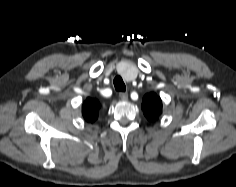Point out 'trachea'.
Wrapping results in <instances>:
<instances>
[{
    "label": "trachea",
    "mask_w": 236,
    "mask_h": 187,
    "mask_svg": "<svg viewBox=\"0 0 236 187\" xmlns=\"http://www.w3.org/2000/svg\"><path fill=\"white\" fill-rule=\"evenodd\" d=\"M113 83H114V87H115V89H116L117 91H122V92H124V91L126 90V86H125V84H124V81H123V79H122L120 76H116V77L114 78Z\"/></svg>",
    "instance_id": "3493384b"
}]
</instances>
